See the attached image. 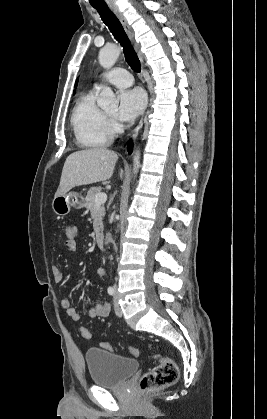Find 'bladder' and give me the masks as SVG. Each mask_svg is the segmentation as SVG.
<instances>
[{"label":"bladder","instance_id":"1","mask_svg":"<svg viewBox=\"0 0 267 419\" xmlns=\"http://www.w3.org/2000/svg\"><path fill=\"white\" fill-rule=\"evenodd\" d=\"M85 360L92 383L104 388L123 386L139 369L137 360L100 348L88 349Z\"/></svg>","mask_w":267,"mask_h":419}]
</instances>
